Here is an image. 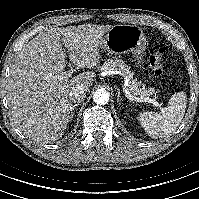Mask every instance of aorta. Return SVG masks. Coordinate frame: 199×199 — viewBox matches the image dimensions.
Listing matches in <instances>:
<instances>
[{
	"label": "aorta",
	"mask_w": 199,
	"mask_h": 199,
	"mask_svg": "<svg viewBox=\"0 0 199 199\" xmlns=\"http://www.w3.org/2000/svg\"><path fill=\"white\" fill-rule=\"evenodd\" d=\"M93 101L98 105H105L109 101V93L105 89H97L93 94Z\"/></svg>",
	"instance_id": "1"
}]
</instances>
